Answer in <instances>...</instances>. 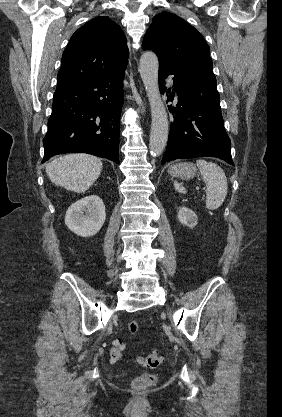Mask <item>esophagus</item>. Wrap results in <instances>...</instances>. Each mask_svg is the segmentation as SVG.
<instances>
[{
  "label": "esophagus",
  "mask_w": 282,
  "mask_h": 417,
  "mask_svg": "<svg viewBox=\"0 0 282 417\" xmlns=\"http://www.w3.org/2000/svg\"><path fill=\"white\" fill-rule=\"evenodd\" d=\"M141 113H145V106L141 107Z\"/></svg>",
  "instance_id": "34e87169"
}]
</instances>
